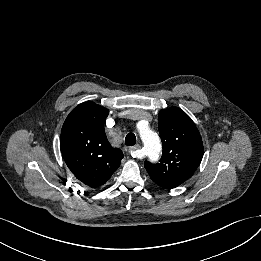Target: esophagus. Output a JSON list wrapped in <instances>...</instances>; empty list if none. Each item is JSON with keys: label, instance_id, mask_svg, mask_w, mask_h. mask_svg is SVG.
<instances>
[{"label": "esophagus", "instance_id": "esophagus-1", "mask_svg": "<svg viewBox=\"0 0 261 261\" xmlns=\"http://www.w3.org/2000/svg\"><path fill=\"white\" fill-rule=\"evenodd\" d=\"M140 148H141L140 145H135V146H133V147L130 149L131 155L134 156V157H136V155H137L136 153H137V151H138Z\"/></svg>", "mask_w": 261, "mask_h": 261}]
</instances>
